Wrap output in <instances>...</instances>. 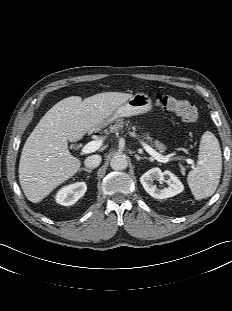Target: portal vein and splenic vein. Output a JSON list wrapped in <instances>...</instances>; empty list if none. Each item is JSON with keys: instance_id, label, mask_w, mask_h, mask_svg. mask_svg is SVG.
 Here are the masks:
<instances>
[{"instance_id": "portal-vein-and-splenic-vein-1", "label": "portal vein and splenic vein", "mask_w": 232, "mask_h": 311, "mask_svg": "<svg viewBox=\"0 0 232 311\" xmlns=\"http://www.w3.org/2000/svg\"><path fill=\"white\" fill-rule=\"evenodd\" d=\"M142 146L144 147V149L146 150V152H148L152 157H154V159H156L157 161L161 162V163H167L170 160H172V158H170V156H164L160 153H158L157 151H155L153 148H151L149 145H147L146 143L142 142L141 143ZM102 146V140H95V141H91L89 143H87L83 148H82V153L83 154H89L92 152H95L96 150H98L100 147ZM187 162L192 164V160L187 159Z\"/></svg>"}]
</instances>
